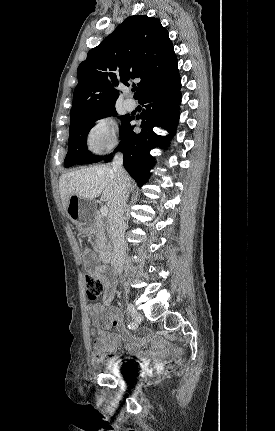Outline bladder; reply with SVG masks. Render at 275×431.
<instances>
[{"mask_svg": "<svg viewBox=\"0 0 275 431\" xmlns=\"http://www.w3.org/2000/svg\"><path fill=\"white\" fill-rule=\"evenodd\" d=\"M133 363L127 366V361L119 360L113 363H107L105 370L118 380H123L128 376L129 368L132 367Z\"/></svg>", "mask_w": 275, "mask_h": 431, "instance_id": "1", "label": "bladder"}]
</instances>
